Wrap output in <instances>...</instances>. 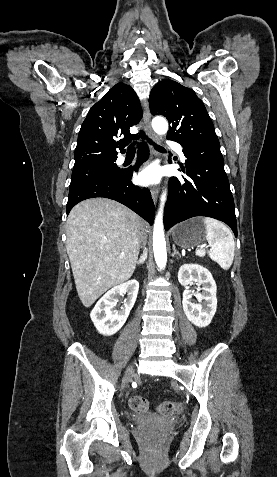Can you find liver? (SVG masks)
Here are the masks:
<instances>
[{
    "label": "liver",
    "mask_w": 277,
    "mask_h": 477,
    "mask_svg": "<svg viewBox=\"0 0 277 477\" xmlns=\"http://www.w3.org/2000/svg\"><path fill=\"white\" fill-rule=\"evenodd\" d=\"M145 228L136 213L107 198L88 199L71 210L66 249L85 307L132 276Z\"/></svg>",
    "instance_id": "1"
}]
</instances>
